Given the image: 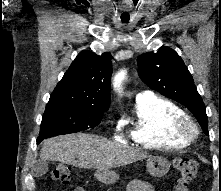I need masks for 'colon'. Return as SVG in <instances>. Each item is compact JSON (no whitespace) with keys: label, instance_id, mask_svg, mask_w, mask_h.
<instances>
[{"label":"colon","instance_id":"obj_1","mask_svg":"<svg viewBox=\"0 0 221 191\" xmlns=\"http://www.w3.org/2000/svg\"><path fill=\"white\" fill-rule=\"evenodd\" d=\"M174 166L180 175L179 184L187 186V184L196 176L198 172V164L195 160L189 158H176ZM71 177V170L66 165L57 166L52 172V179L54 181L67 184ZM73 191H84L81 188H74Z\"/></svg>","mask_w":221,"mask_h":191}]
</instances>
